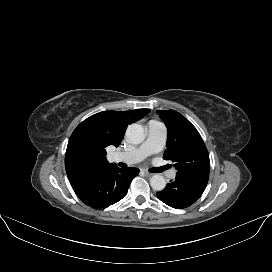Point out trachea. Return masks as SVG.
Masks as SVG:
<instances>
[{
    "label": "trachea",
    "mask_w": 272,
    "mask_h": 272,
    "mask_svg": "<svg viewBox=\"0 0 272 272\" xmlns=\"http://www.w3.org/2000/svg\"><path fill=\"white\" fill-rule=\"evenodd\" d=\"M164 169H166V168H165V167H161L158 171H157V170L150 169V172H153V173H155V172H161V171H163Z\"/></svg>",
    "instance_id": "3493384b"
}]
</instances>
